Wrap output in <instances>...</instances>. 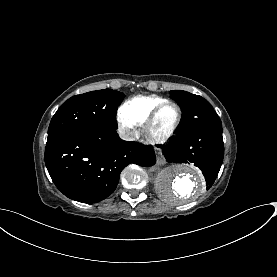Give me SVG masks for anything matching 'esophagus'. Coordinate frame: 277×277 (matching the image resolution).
Wrapping results in <instances>:
<instances>
[{"label": "esophagus", "instance_id": "esophagus-1", "mask_svg": "<svg viewBox=\"0 0 277 277\" xmlns=\"http://www.w3.org/2000/svg\"><path fill=\"white\" fill-rule=\"evenodd\" d=\"M159 164H164L165 163V160L163 158H160L158 161H157Z\"/></svg>", "mask_w": 277, "mask_h": 277}]
</instances>
